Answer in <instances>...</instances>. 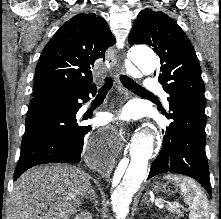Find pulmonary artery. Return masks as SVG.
I'll return each mask as SVG.
<instances>
[{
  "instance_id": "pulmonary-artery-1",
  "label": "pulmonary artery",
  "mask_w": 221,
  "mask_h": 219,
  "mask_svg": "<svg viewBox=\"0 0 221 219\" xmlns=\"http://www.w3.org/2000/svg\"><path fill=\"white\" fill-rule=\"evenodd\" d=\"M146 91H148L151 95H162L164 98V101L168 103L167 101V95L164 93L163 87L161 83L153 78V77H148L146 79Z\"/></svg>"
}]
</instances>
